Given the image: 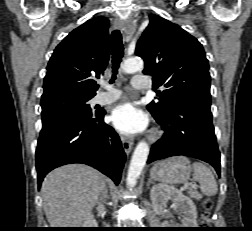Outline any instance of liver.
I'll use <instances>...</instances> for the list:
<instances>
[{
  "instance_id": "obj_1",
  "label": "liver",
  "mask_w": 252,
  "mask_h": 231,
  "mask_svg": "<svg viewBox=\"0 0 252 231\" xmlns=\"http://www.w3.org/2000/svg\"><path fill=\"white\" fill-rule=\"evenodd\" d=\"M104 187L103 175L86 165L71 164L50 172L41 187L50 227L83 226L86 215L97 203Z\"/></svg>"
}]
</instances>
